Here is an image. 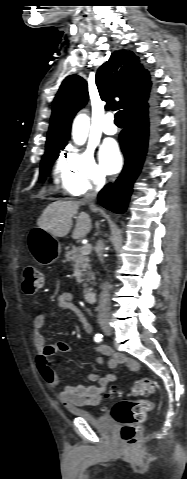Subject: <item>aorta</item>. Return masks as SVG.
I'll return each mask as SVG.
<instances>
[{
	"mask_svg": "<svg viewBox=\"0 0 187 479\" xmlns=\"http://www.w3.org/2000/svg\"><path fill=\"white\" fill-rule=\"evenodd\" d=\"M90 121L85 114H79L75 118L72 127V137L76 144L83 145L87 139Z\"/></svg>",
	"mask_w": 187,
	"mask_h": 479,
	"instance_id": "1",
	"label": "aorta"
}]
</instances>
